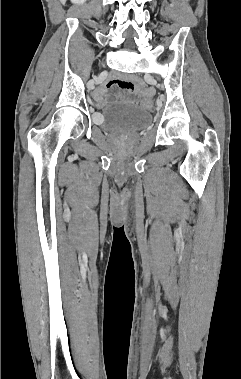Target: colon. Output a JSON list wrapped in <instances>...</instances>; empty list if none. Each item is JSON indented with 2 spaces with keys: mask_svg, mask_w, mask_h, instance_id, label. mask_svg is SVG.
<instances>
[{
  "mask_svg": "<svg viewBox=\"0 0 241 379\" xmlns=\"http://www.w3.org/2000/svg\"><path fill=\"white\" fill-rule=\"evenodd\" d=\"M151 91L142 90L141 91V109H150L151 108Z\"/></svg>",
  "mask_w": 241,
  "mask_h": 379,
  "instance_id": "obj_1",
  "label": "colon"
}]
</instances>
